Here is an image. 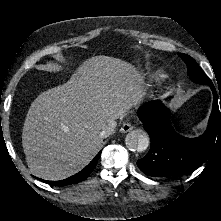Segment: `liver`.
<instances>
[{"instance_id": "6515ba94", "label": "liver", "mask_w": 221, "mask_h": 221, "mask_svg": "<svg viewBox=\"0 0 221 221\" xmlns=\"http://www.w3.org/2000/svg\"><path fill=\"white\" fill-rule=\"evenodd\" d=\"M144 93L143 77L132 64L109 56L87 59L28 110L22 146L31 174L57 181L77 173L101 149L104 126L116 123Z\"/></svg>"}]
</instances>
